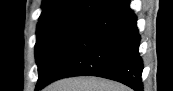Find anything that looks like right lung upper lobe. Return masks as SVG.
Masks as SVG:
<instances>
[{"label": "right lung upper lobe", "instance_id": "right-lung-upper-lobe-1", "mask_svg": "<svg viewBox=\"0 0 173 91\" xmlns=\"http://www.w3.org/2000/svg\"><path fill=\"white\" fill-rule=\"evenodd\" d=\"M103 1L106 0H43L38 25L66 20L87 21L108 7ZM110 1L116 3L119 0Z\"/></svg>", "mask_w": 173, "mask_h": 91}]
</instances>
